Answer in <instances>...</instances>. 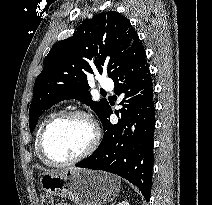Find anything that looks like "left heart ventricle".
Returning <instances> with one entry per match:
<instances>
[{
  "label": "left heart ventricle",
  "mask_w": 212,
  "mask_h": 205,
  "mask_svg": "<svg viewBox=\"0 0 212 205\" xmlns=\"http://www.w3.org/2000/svg\"><path fill=\"white\" fill-rule=\"evenodd\" d=\"M91 138L90 125L82 118L71 117L50 128L45 138V147L51 157L63 161L82 153Z\"/></svg>",
  "instance_id": "b2bd125f"
}]
</instances>
